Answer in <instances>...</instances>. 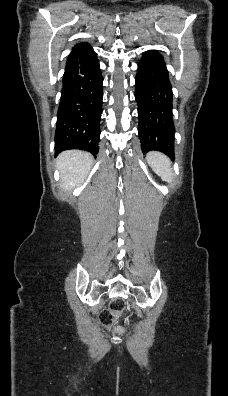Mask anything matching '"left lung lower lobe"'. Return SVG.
I'll return each instance as SVG.
<instances>
[{
  "label": "left lung lower lobe",
  "instance_id": "0a47b994",
  "mask_svg": "<svg viewBox=\"0 0 228 396\" xmlns=\"http://www.w3.org/2000/svg\"><path fill=\"white\" fill-rule=\"evenodd\" d=\"M135 80L141 149L143 152L157 150L173 159V93L165 61L158 51L143 54Z\"/></svg>",
  "mask_w": 228,
  "mask_h": 396
}]
</instances>
